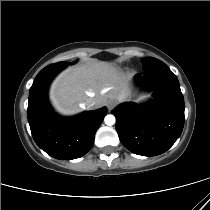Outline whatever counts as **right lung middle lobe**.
<instances>
[{"instance_id":"obj_1","label":"right lung middle lobe","mask_w":210,"mask_h":210,"mask_svg":"<svg viewBox=\"0 0 210 210\" xmlns=\"http://www.w3.org/2000/svg\"><path fill=\"white\" fill-rule=\"evenodd\" d=\"M75 63V62H74ZM55 64H64V65H67L69 64L68 62H59V63H55Z\"/></svg>"}]
</instances>
